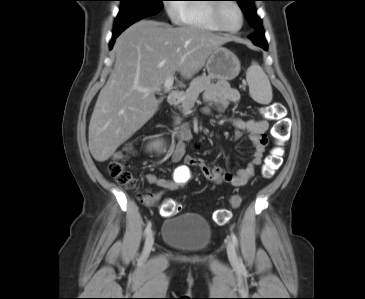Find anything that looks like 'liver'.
<instances>
[{"instance_id":"1","label":"liver","mask_w":365,"mask_h":299,"mask_svg":"<svg viewBox=\"0 0 365 299\" xmlns=\"http://www.w3.org/2000/svg\"><path fill=\"white\" fill-rule=\"evenodd\" d=\"M232 38L193 26L141 20L117 39L115 64L89 123V150L107 161L159 108L154 92L175 72L190 79ZM139 89H149L144 93Z\"/></svg>"}]
</instances>
